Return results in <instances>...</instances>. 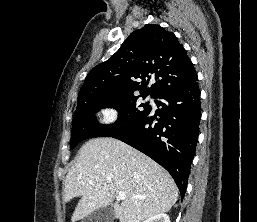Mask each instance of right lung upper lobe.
Instances as JSON below:
<instances>
[{"label":"right lung upper lobe","instance_id":"cb5924a9","mask_svg":"<svg viewBox=\"0 0 257 222\" xmlns=\"http://www.w3.org/2000/svg\"><path fill=\"white\" fill-rule=\"evenodd\" d=\"M156 82L145 88L150 78ZM194 66L177 37L159 25L148 24L134 31L107 61L94 67L79 92L77 104L97 96L151 97L193 82ZM141 79V84L137 82Z\"/></svg>","mask_w":257,"mask_h":222}]
</instances>
